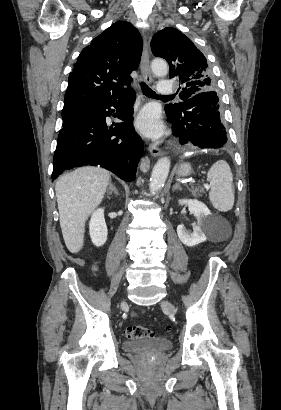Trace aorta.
Segmentation results:
<instances>
[{"label": "aorta", "mask_w": 281, "mask_h": 410, "mask_svg": "<svg viewBox=\"0 0 281 410\" xmlns=\"http://www.w3.org/2000/svg\"><path fill=\"white\" fill-rule=\"evenodd\" d=\"M152 72L156 76H165L168 73V65L164 60L155 59L151 63ZM170 170V160L167 157L160 158L155 164L151 178H150V191L155 194L161 190L167 180Z\"/></svg>", "instance_id": "aorta-1"}]
</instances>
